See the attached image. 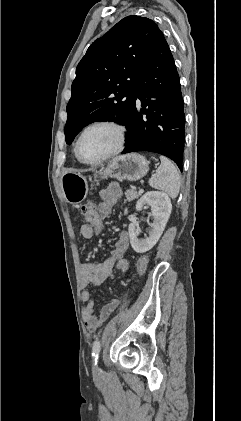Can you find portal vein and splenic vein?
Returning <instances> with one entry per match:
<instances>
[{"label": "portal vein and splenic vein", "instance_id": "portal-vein-and-splenic-vein-1", "mask_svg": "<svg viewBox=\"0 0 241 421\" xmlns=\"http://www.w3.org/2000/svg\"><path fill=\"white\" fill-rule=\"evenodd\" d=\"M143 192H144V190H143V189H140V190H139V193H143Z\"/></svg>", "mask_w": 241, "mask_h": 421}]
</instances>
